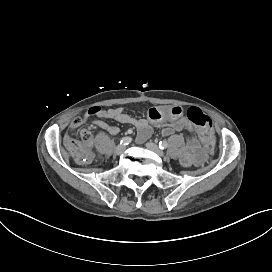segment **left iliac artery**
I'll return each instance as SVG.
<instances>
[{
  "label": "left iliac artery",
  "instance_id": "obj_1",
  "mask_svg": "<svg viewBox=\"0 0 272 272\" xmlns=\"http://www.w3.org/2000/svg\"><path fill=\"white\" fill-rule=\"evenodd\" d=\"M159 148L162 150L168 148V143L166 141H160Z\"/></svg>",
  "mask_w": 272,
  "mask_h": 272
}]
</instances>
